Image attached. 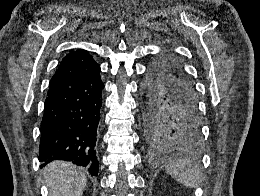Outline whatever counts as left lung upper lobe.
<instances>
[{"instance_id":"1","label":"left lung upper lobe","mask_w":260,"mask_h":196,"mask_svg":"<svg viewBox=\"0 0 260 196\" xmlns=\"http://www.w3.org/2000/svg\"><path fill=\"white\" fill-rule=\"evenodd\" d=\"M142 128L152 152L193 147L202 140L195 87L174 54L154 60L143 84Z\"/></svg>"}]
</instances>
